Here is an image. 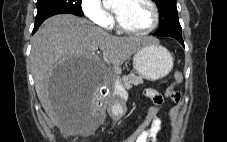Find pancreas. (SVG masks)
<instances>
[{"label": "pancreas", "mask_w": 227, "mask_h": 142, "mask_svg": "<svg viewBox=\"0 0 227 142\" xmlns=\"http://www.w3.org/2000/svg\"><path fill=\"white\" fill-rule=\"evenodd\" d=\"M125 89L129 90L133 85L143 84L142 76H137L134 73L124 75L122 78H117Z\"/></svg>", "instance_id": "cf45deb5"}]
</instances>
